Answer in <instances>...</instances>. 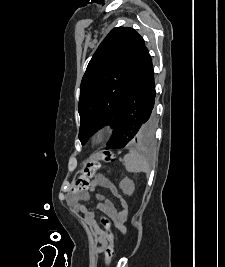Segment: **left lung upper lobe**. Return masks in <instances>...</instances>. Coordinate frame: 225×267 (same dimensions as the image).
<instances>
[{
  "label": "left lung upper lobe",
  "instance_id": "obj_1",
  "mask_svg": "<svg viewBox=\"0 0 225 267\" xmlns=\"http://www.w3.org/2000/svg\"><path fill=\"white\" fill-rule=\"evenodd\" d=\"M144 47L143 38L129 27L114 28L99 45L80 86L78 111L81 119L79 139L82 144L106 124L114 129L110 141L113 139ZM153 134L154 132L145 137L142 124L133 143L149 142Z\"/></svg>",
  "mask_w": 225,
  "mask_h": 267
}]
</instances>
